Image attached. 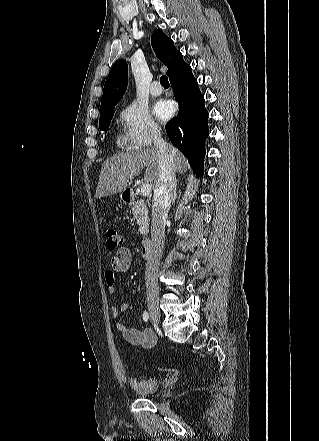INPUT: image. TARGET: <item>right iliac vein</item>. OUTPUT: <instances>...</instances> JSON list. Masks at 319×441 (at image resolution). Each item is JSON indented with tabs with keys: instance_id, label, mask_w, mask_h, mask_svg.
<instances>
[{
	"instance_id": "63e3f726",
	"label": "right iliac vein",
	"mask_w": 319,
	"mask_h": 441,
	"mask_svg": "<svg viewBox=\"0 0 319 441\" xmlns=\"http://www.w3.org/2000/svg\"><path fill=\"white\" fill-rule=\"evenodd\" d=\"M148 309L152 320L158 324L160 322V310L156 300L148 301Z\"/></svg>"
}]
</instances>
